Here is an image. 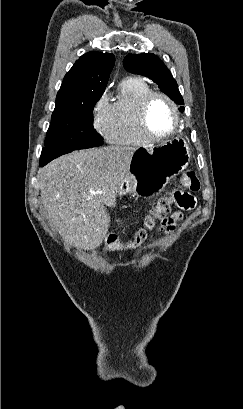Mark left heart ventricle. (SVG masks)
I'll return each instance as SVG.
<instances>
[{"instance_id":"b2bd125f","label":"left heart ventricle","mask_w":243,"mask_h":409,"mask_svg":"<svg viewBox=\"0 0 243 409\" xmlns=\"http://www.w3.org/2000/svg\"><path fill=\"white\" fill-rule=\"evenodd\" d=\"M150 129L157 135H165L175 127V117L171 106L162 98H154L149 107Z\"/></svg>"}]
</instances>
